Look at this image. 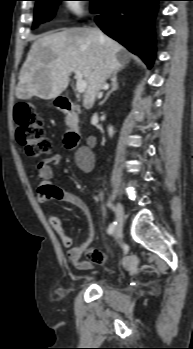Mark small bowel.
<instances>
[{
    "label": "small bowel",
    "mask_w": 193,
    "mask_h": 349,
    "mask_svg": "<svg viewBox=\"0 0 193 349\" xmlns=\"http://www.w3.org/2000/svg\"><path fill=\"white\" fill-rule=\"evenodd\" d=\"M61 159L62 157L60 154H54L45 158L38 164L37 169L40 183L37 189V200L41 204L51 201L69 203L87 214L89 207L79 195L53 184V169L61 162ZM77 164L84 172H90L94 167L93 154L90 151L80 153L77 157ZM48 221L58 235L63 246L68 248V257L77 268L81 270H89L93 268L94 262L103 264L107 261V257L98 250L88 251L86 255L89 259H83L82 255L86 252V244L73 246V240L64 228L59 217L52 213H48Z\"/></svg>",
    "instance_id": "small-bowel-1"
}]
</instances>
